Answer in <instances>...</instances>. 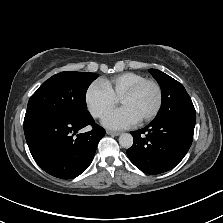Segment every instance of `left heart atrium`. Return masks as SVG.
Listing matches in <instances>:
<instances>
[{
    "mask_svg": "<svg viewBox=\"0 0 223 223\" xmlns=\"http://www.w3.org/2000/svg\"><path fill=\"white\" fill-rule=\"evenodd\" d=\"M138 119L126 107H120L109 114L103 119V124L112 129L128 128L135 123Z\"/></svg>",
    "mask_w": 223,
    "mask_h": 223,
    "instance_id": "obj_1",
    "label": "left heart atrium"
}]
</instances>
